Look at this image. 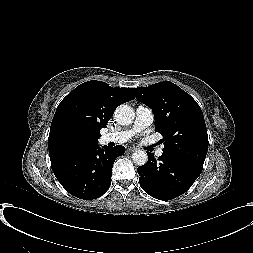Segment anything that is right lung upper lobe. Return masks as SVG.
Here are the masks:
<instances>
[{
    "label": "right lung upper lobe",
    "mask_w": 253,
    "mask_h": 253,
    "mask_svg": "<svg viewBox=\"0 0 253 253\" xmlns=\"http://www.w3.org/2000/svg\"><path fill=\"white\" fill-rule=\"evenodd\" d=\"M133 99L131 88H112L102 81L77 86L60 102L53 117L48 138L51 162L98 145L100 130L115 109Z\"/></svg>",
    "instance_id": "cb5924a9"
}]
</instances>
